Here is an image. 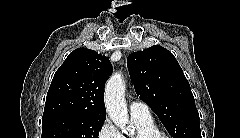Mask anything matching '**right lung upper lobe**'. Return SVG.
<instances>
[{"mask_svg":"<svg viewBox=\"0 0 240 138\" xmlns=\"http://www.w3.org/2000/svg\"><path fill=\"white\" fill-rule=\"evenodd\" d=\"M112 73L107 57L87 48L72 51L56 71L43 116L70 113L104 119V86Z\"/></svg>","mask_w":240,"mask_h":138,"instance_id":"obj_1","label":"right lung upper lobe"}]
</instances>
